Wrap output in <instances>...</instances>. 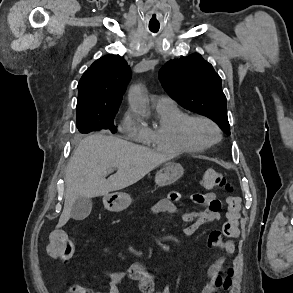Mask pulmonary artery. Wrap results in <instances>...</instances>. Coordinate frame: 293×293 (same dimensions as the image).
<instances>
[{
  "instance_id": "1",
  "label": "pulmonary artery",
  "mask_w": 293,
  "mask_h": 293,
  "mask_svg": "<svg viewBox=\"0 0 293 293\" xmlns=\"http://www.w3.org/2000/svg\"><path fill=\"white\" fill-rule=\"evenodd\" d=\"M174 103L173 100L166 96H159L156 101V107H161L165 105H170Z\"/></svg>"
}]
</instances>
